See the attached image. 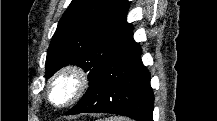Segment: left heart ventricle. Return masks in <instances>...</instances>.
Here are the masks:
<instances>
[{"label": "left heart ventricle", "instance_id": "b2bd125f", "mask_svg": "<svg viewBox=\"0 0 217 121\" xmlns=\"http://www.w3.org/2000/svg\"><path fill=\"white\" fill-rule=\"evenodd\" d=\"M71 89V85L67 82H64L58 86V88L55 91V99L57 101H62L66 96L69 94Z\"/></svg>", "mask_w": 217, "mask_h": 121}]
</instances>
